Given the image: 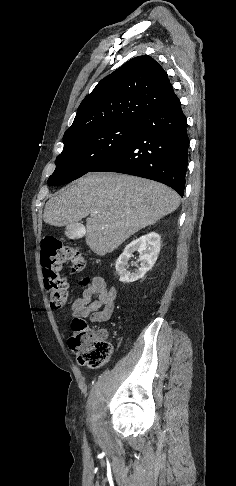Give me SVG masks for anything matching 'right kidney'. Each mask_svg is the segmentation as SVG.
<instances>
[{
  "mask_svg": "<svg viewBox=\"0 0 236 486\" xmlns=\"http://www.w3.org/2000/svg\"><path fill=\"white\" fill-rule=\"evenodd\" d=\"M160 242V235L151 232L129 243L115 264L116 271L120 276V281L123 283H131L143 278L157 260L160 252ZM136 251L139 253L140 266L138 267V270L130 273L126 270V266L128 265L130 257Z\"/></svg>",
  "mask_w": 236,
  "mask_h": 486,
  "instance_id": "ca27d5eb",
  "label": "right kidney"
}]
</instances>
